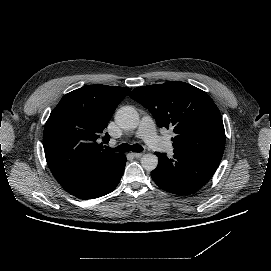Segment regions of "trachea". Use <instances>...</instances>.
I'll list each match as a JSON object with an SVG mask.
<instances>
[{
	"label": "trachea",
	"mask_w": 271,
	"mask_h": 271,
	"mask_svg": "<svg viewBox=\"0 0 271 271\" xmlns=\"http://www.w3.org/2000/svg\"><path fill=\"white\" fill-rule=\"evenodd\" d=\"M118 152H141L143 150V147L139 144L129 145L127 143H123L120 146L116 148Z\"/></svg>",
	"instance_id": "1"
}]
</instances>
